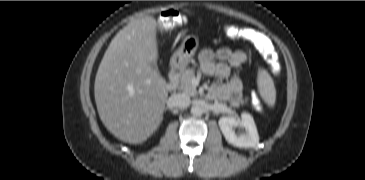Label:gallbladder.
<instances>
[{
    "label": "gallbladder",
    "mask_w": 365,
    "mask_h": 180,
    "mask_svg": "<svg viewBox=\"0 0 365 180\" xmlns=\"http://www.w3.org/2000/svg\"><path fill=\"white\" fill-rule=\"evenodd\" d=\"M152 67H153V69H154L157 73H159V74H160V72H159V70H158V67H157L155 64H152Z\"/></svg>",
    "instance_id": "obj_1"
}]
</instances>
